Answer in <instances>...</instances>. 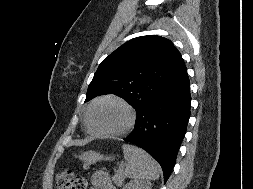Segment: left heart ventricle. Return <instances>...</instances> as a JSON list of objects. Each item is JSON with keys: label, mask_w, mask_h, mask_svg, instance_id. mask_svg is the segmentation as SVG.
<instances>
[{"label": "left heart ventricle", "mask_w": 253, "mask_h": 189, "mask_svg": "<svg viewBox=\"0 0 253 189\" xmlns=\"http://www.w3.org/2000/svg\"><path fill=\"white\" fill-rule=\"evenodd\" d=\"M128 121L126 109L117 102L105 101L96 105L91 114L94 128L100 132L120 130Z\"/></svg>", "instance_id": "left-heart-ventricle-1"}]
</instances>
